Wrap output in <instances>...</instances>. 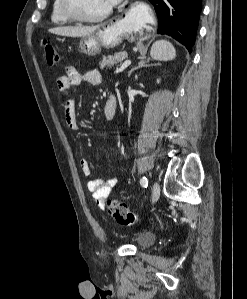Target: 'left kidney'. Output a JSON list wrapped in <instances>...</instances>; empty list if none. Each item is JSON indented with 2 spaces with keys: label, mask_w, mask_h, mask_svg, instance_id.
Masks as SVG:
<instances>
[{
  "label": "left kidney",
  "mask_w": 247,
  "mask_h": 299,
  "mask_svg": "<svg viewBox=\"0 0 247 299\" xmlns=\"http://www.w3.org/2000/svg\"><path fill=\"white\" fill-rule=\"evenodd\" d=\"M159 82H160V80L158 79V80H157V83H159Z\"/></svg>",
  "instance_id": "left-kidney-1"
}]
</instances>
